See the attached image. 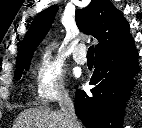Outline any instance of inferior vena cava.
<instances>
[{
	"instance_id": "1",
	"label": "inferior vena cava",
	"mask_w": 142,
	"mask_h": 128,
	"mask_svg": "<svg viewBox=\"0 0 142 128\" xmlns=\"http://www.w3.org/2000/svg\"><path fill=\"white\" fill-rule=\"evenodd\" d=\"M60 107L68 122V128H81L75 114L74 104L68 94H64L62 96L60 100Z\"/></svg>"
}]
</instances>
